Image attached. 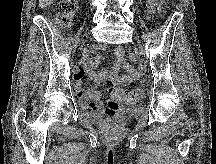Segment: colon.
Instances as JSON below:
<instances>
[{
    "label": "colon",
    "instance_id": "1",
    "mask_svg": "<svg viewBox=\"0 0 216 164\" xmlns=\"http://www.w3.org/2000/svg\"><path fill=\"white\" fill-rule=\"evenodd\" d=\"M76 9V0H61L57 5L56 23L61 28L68 27ZM102 85L109 91L112 100L117 103L134 104L144 95V91L141 88L127 90L121 87H114L108 80L103 81Z\"/></svg>",
    "mask_w": 216,
    "mask_h": 164
}]
</instances>
